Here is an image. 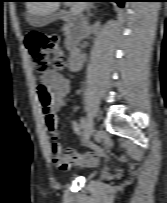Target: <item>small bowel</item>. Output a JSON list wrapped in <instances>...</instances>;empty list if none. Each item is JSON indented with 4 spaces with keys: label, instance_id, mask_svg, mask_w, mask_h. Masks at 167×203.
Wrapping results in <instances>:
<instances>
[{
    "label": "small bowel",
    "instance_id": "obj_1",
    "mask_svg": "<svg viewBox=\"0 0 167 203\" xmlns=\"http://www.w3.org/2000/svg\"><path fill=\"white\" fill-rule=\"evenodd\" d=\"M40 81L44 82L52 93V99L46 108H43V117L47 127L48 134L52 140L50 152L53 162L60 170H68L73 166H95L101 157L108 152L107 149L88 142L90 151L78 154L74 149L63 150L58 143L57 116L56 112L66 105L65 98L70 92V80L62 73L56 71H47L42 74ZM73 132L80 136L81 123L73 121L71 124Z\"/></svg>",
    "mask_w": 167,
    "mask_h": 203
}]
</instances>
